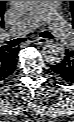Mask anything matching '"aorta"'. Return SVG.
<instances>
[{
    "label": "aorta",
    "instance_id": "1",
    "mask_svg": "<svg viewBox=\"0 0 74 122\" xmlns=\"http://www.w3.org/2000/svg\"><path fill=\"white\" fill-rule=\"evenodd\" d=\"M39 1H11V5L20 13H26L33 10ZM44 60L49 64L60 63L65 56L64 46L59 42H49L42 48Z\"/></svg>",
    "mask_w": 74,
    "mask_h": 122
}]
</instances>
